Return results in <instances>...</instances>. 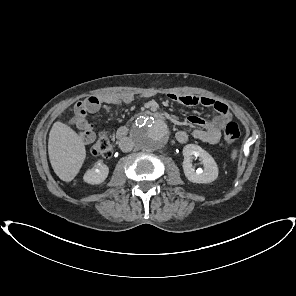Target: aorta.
<instances>
[{"instance_id": "obj_1", "label": "aorta", "mask_w": 296, "mask_h": 296, "mask_svg": "<svg viewBox=\"0 0 296 296\" xmlns=\"http://www.w3.org/2000/svg\"><path fill=\"white\" fill-rule=\"evenodd\" d=\"M169 136L168 125L151 116L140 117L131 132L135 145L146 151L162 149L167 144Z\"/></svg>"}]
</instances>
